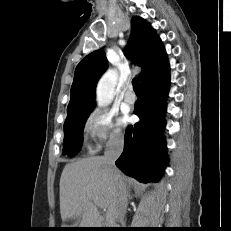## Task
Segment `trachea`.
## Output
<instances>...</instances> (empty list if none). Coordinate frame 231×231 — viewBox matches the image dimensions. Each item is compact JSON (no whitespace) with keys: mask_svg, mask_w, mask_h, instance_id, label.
I'll use <instances>...</instances> for the list:
<instances>
[{"mask_svg":"<svg viewBox=\"0 0 231 231\" xmlns=\"http://www.w3.org/2000/svg\"><path fill=\"white\" fill-rule=\"evenodd\" d=\"M132 85L135 92H140V81L138 77L132 80Z\"/></svg>","mask_w":231,"mask_h":231,"instance_id":"trachea-1","label":"trachea"}]
</instances>
